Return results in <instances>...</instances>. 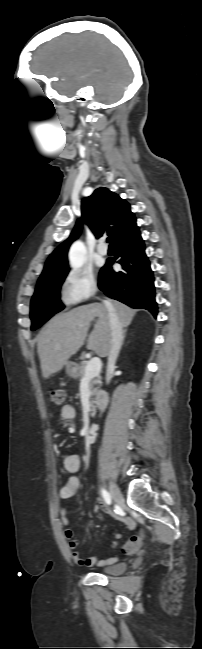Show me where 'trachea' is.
Segmentation results:
<instances>
[{
    "instance_id": "obj_1",
    "label": "trachea",
    "mask_w": 202,
    "mask_h": 649,
    "mask_svg": "<svg viewBox=\"0 0 202 649\" xmlns=\"http://www.w3.org/2000/svg\"><path fill=\"white\" fill-rule=\"evenodd\" d=\"M107 242H108L109 244H111V243H112V237H108V238H107Z\"/></svg>"
}]
</instances>
